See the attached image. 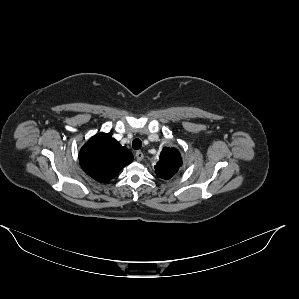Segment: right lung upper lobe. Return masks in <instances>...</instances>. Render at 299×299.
<instances>
[{
  "mask_svg": "<svg viewBox=\"0 0 299 299\" xmlns=\"http://www.w3.org/2000/svg\"><path fill=\"white\" fill-rule=\"evenodd\" d=\"M82 169L98 182H108L133 161L132 153L110 134L90 138L79 153Z\"/></svg>",
  "mask_w": 299,
  "mask_h": 299,
  "instance_id": "right-lung-upper-lobe-1",
  "label": "right lung upper lobe"
}]
</instances>
